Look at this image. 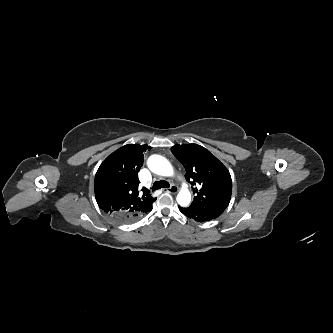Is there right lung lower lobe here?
Returning a JSON list of instances; mask_svg holds the SVG:
<instances>
[{
    "mask_svg": "<svg viewBox=\"0 0 333 333\" xmlns=\"http://www.w3.org/2000/svg\"><path fill=\"white\" fill-rule=\"evenodd\" d=\"M152 210V206L145 209L144 211H142L139 214H125V215H118V216H113L118 220L121 221H126V220H135L136 218H139L140 216H142L144 213L150 212Z\"/></svg>",
    "mask_w": 333,
    "mask_h": 333,
    "instance_id": "obj_1",
    "label": "right lung lower lobe"
}]
</instances>
